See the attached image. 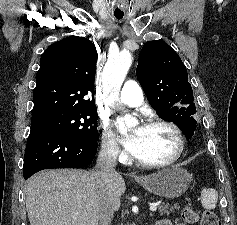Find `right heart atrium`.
Wrapping results in <instances>:
<instances>
[{"mask_svg": "<svg viewBox=\"0 0 237 225\" xmlns=\"http://www.w3.org/2000/svg\"><path fill=\"white\" fill-rule=\"evenodd\" d=\"M101 147L104 154L112 159L123 161L127 157L120 148L117 138L106 124L101 127Z\"/></svg>", "mask_w": 237, "mask_h": 225, "instance_id": "d8ad5b80", "label": "right heart atrium"}]
</instances>
